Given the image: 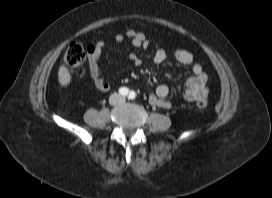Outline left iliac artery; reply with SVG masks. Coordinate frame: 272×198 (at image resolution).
<instances>
[{
  "label": "left iliac artery",
  "instance_id": "left-iliac-artery-1",
  "mask_svg": "<svg viewBox=\"0 0 272 198\" xmlns=\"http://www.w3.org/2000/svg\"><path fill=\"white\" fill-rule=\"evenodd\" d=\"M135 97H136L135 92H134V91H131V92L129 93V98H130V99H135Z\"/></svg>",
  "mask_w": 272,
  "mask_h": 198
}]
</instances>
